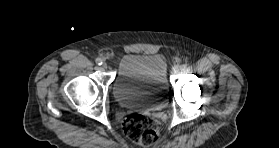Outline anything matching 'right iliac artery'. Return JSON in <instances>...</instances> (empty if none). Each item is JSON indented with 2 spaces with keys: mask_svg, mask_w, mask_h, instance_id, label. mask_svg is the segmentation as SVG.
Segmentation results:
<instances>
[{
  "mask_svg": "<svg viewBox=\"0 0 279 148\" xmlns=\"http://www.w3.org/2000/svg\"><path fill=\"white\" fill-rule=\"evenodd\" d=\"M95 62H96V64H98V65H101L103 62H102V60L100 59V58H97L96 60H95Z\"/></svg>",
  "mask_w": 279,
  "mask_h": 148,
  "instance_id": "1",
  "label": "right iliac artery"
}]
</instances>
